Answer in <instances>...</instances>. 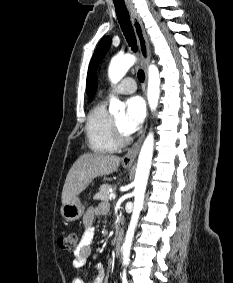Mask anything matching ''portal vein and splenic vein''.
<instances>
[{
    "mask_svg": "<svg viewBox=\"0 0 233 283\" xmlns=\"http://www.w3.org/2000/svg\"><path fill=\"white\" fill-rule=\"evenodd\" d=\"M115 198H116V194L111 193V194L109 195V199H110V200L115 199Z\"/></svg>",
    "mask_w": 233,
    "mask_h": 283,
    "instance_id": "portal-vein-and-splenic-vein-1",
    "label": "portal vein and splenic vein"
}]
</instances>
